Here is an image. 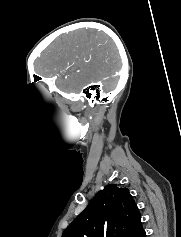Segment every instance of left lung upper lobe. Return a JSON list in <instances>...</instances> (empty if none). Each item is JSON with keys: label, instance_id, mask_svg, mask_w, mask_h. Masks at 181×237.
<instances>
[{"label": "left lung upper lobe", "instance_id": "1", "mask_svg": "<svg viewBox=\"0 0 181 237\" xmlns=\"http://www.w3.org/2000/svg\"><path fill=\"white\" fill-rule=\"evenodd\" d=\"M142 231L141 215L129 189L109 184L71 222L62 237H137Z\"/></svg>", "mask_w": 181, "mask_h": 237}]
</instances>
